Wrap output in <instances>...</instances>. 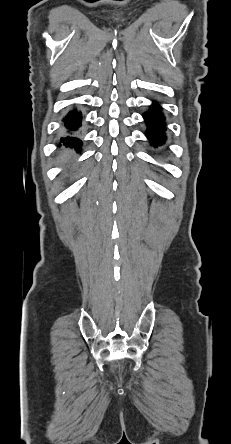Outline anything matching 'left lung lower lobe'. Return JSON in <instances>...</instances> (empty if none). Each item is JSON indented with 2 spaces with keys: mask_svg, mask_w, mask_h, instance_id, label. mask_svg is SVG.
I'll list each match as a JSON object with an SVG mask.
<instances>
[{
  "mask_svg": "<svg viewBox=\"0 0 231 444\" xmlns=\"http://www.w3.org/2000/svg\"><path fill=\"white\" fill-rule=\"evenodd\" d=\"M145 124L147 126L146 136L154 147L161 146L165 143V118L162 115L161 108L157 104H153L150 110L144 115Z\"/></svg>",
  "mask_w": 231,
  "mask_h": 444,
  "instance_id": "0a47b994",
  "label": "left lung lower lobe"
}]
</instances>
